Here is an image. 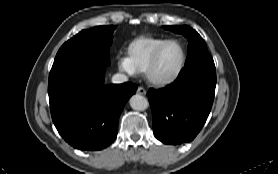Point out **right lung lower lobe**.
<instances>
[{"label":"right lung lower lobe","instance_id":"obj_1","mask_svg":"<svg viewBox=\"0 0 278 174\" xmlns=\"http://www.w3.org/2000/svg\"><path fill=\"white\" fill-rule=\"evenodd\" d=\"M71 61L52 68L48 94L52 120L60 135L81 150H100L117 136L118 119L137 86L104 85V68Z\"/></svg>","mask_w":278,"mask_h":174}]
</instances>
